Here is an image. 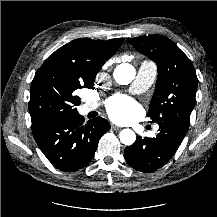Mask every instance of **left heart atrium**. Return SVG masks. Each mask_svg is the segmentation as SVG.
I'll return each instance as SVG.
<instances>
[{"label":"left heart atrium","instance_id":"1","mask_svg":"<svg viewBox=\"0 0 217 217\" xmlns=\"http://www.w3.org/2000/svg\"><path fill=\"white\" fill-rule=\"evenodd\" d=\"M138 105L125 96H115L108 102L107 111L109 116L118 122L130 120L138 111Z\"/></svg>","mask_w":217,"mask_h":217}]
</instances>
